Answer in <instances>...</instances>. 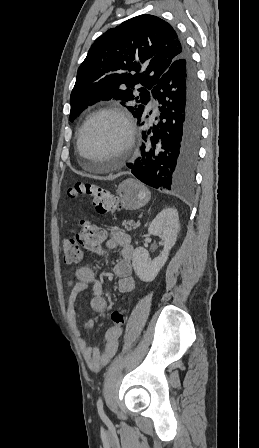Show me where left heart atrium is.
I'll return each instance as SVG.
<instances>
[{
	"label": "left heart atrium",
	"instance_id": "left-heart-atrium-1",
	"mask_svg": "<svg viewBox=\"0 0 259 448\" xmlns=\"http://www.w3.org/2000/svg\"><path fill=\"white\" fill-rule=\"evenodd\" d=\"M153 156H154V150H147L146 152L147 160H151Z\"/></svg>",
	"mask_w": 259,
	"mask_h": 448
}]
</instances>
